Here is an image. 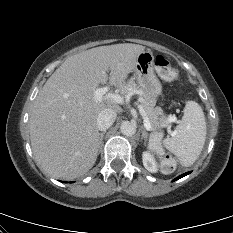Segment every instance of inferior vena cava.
I'll return each mask as SVG.
<instances>
[{
	"instance_id": "inferior-vena-cava-1",
	"label": "inferior vena cava",
	"mask_w": 233,
	"mask_h": 233,
	"mask_svg": "<svg viewBox=\"0 0 233 233\" xmlns=\"http://www.w3.org/2000/svg\"><path fill=\"white\" fill-rule=\"evenodd\" d=\"M117 117L116 112L111 109L102 110L97 118V127L100 131H106L114 123Z\"/></svg>"
}]
</instances>
